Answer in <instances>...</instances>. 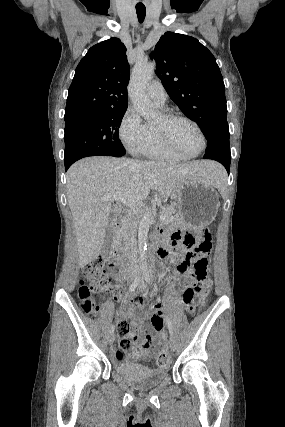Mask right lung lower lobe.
Listing matches in <instances>:
<instances>
[{
	"instance_id": "1",
	"label": "right lung lower lobe",
	"mask_w": 285,
	"mask_h": 427,
	"mask_svg": "<svg viewBox=\"0 0 285 427\" xmlns=\"http://www.w3.org/2000/svg\"><path fill=\"white\" fill-rule=\"evenodd\" d=\"M70 167V165H65V170H67Z\"/></svg>"
}]
</instances>
